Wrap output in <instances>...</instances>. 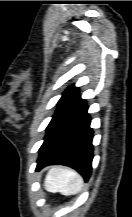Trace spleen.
Returning <instances> with one entry per match:
<instances>
[{"label": "spleen", "mask_w": 132, "mask_h": 217, "mask_svg": "<svg viewBox=\"0 0 132 217\" xmlns=\"http://www.w3.org/2000/svg\"><path fill=\"white\" fill-rule=\"evenodd\" d=\"M45 187L50 192H60L64 196H70L82 190L83 178L70 168L55 166L46 176Z\"/></svg>", "instance_id": "obj_1"}]
</instances>
